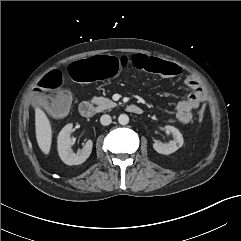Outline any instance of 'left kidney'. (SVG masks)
I'll return each instance as SVG.
<instances>
[{
    "label": "left kidney",
    "mask_w": 241,
    "mask_h": 241,
    "mask_svg": "<svg viewBox=\"0 0 241 241\" xmlns=\"http://www.w3.org/2000/svg\"><path fill=\"white\" fill-rule=\"evenodd\" d=\"M165 130L167 132H171L173 135V140L168 143H162L160 141H155L153 144V148L155 151H157L160 154H171L175 151H177L180 147H182L184 140L183 136L180 133V131L175 128L174 126L167 125L165 126Z\"/></svg>",
    "instance_id": "5707ae66"
}]
</instances>
